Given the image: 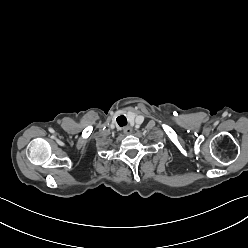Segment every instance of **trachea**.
Segmentation results:
<instances>
[{
  "label": "trachea",
  "mask_w": 248,
  "mask_h": 248,
  "mask_svg": "<svg viewBox=\"0 0 248 248\" xmlns=\"http://www.w3.org/2000/svg\"><path fill=\"white\" fill-rule=\"evenodd\" d=\"M117 122L120 126H124L127 124V120L124 116H120L117 118Z\"/></svg>",
  "instance_id": "obj_1"
}]
</instances>
